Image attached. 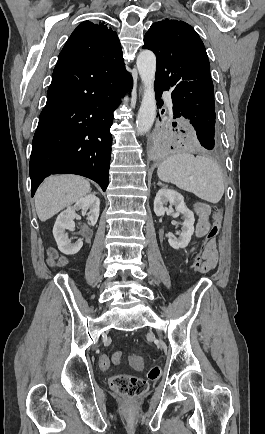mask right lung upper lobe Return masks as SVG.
Segmentation results:
<instances>
[{
  "label": "right lung upper lobe",
  "mask_w": 265,
  "mask_h": 434,
  "mask_svg": "<svg viewBox=\"0 0 265 434\" xmlns=\"http://www.w3.org/2000/svg\"><path fill=\"white\" fill-rule=\"evenodd\" d=\"M122 55L117 33L104 20L82 22L71 34L58 60H104Z\"/></svg>",
  "instance_id": "right-lung-upper-lobe-1"
}]
</instances>
